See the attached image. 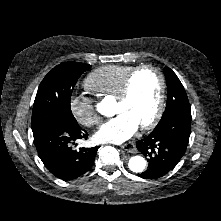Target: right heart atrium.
Masks as SVG:
<instances>
[{"mask_svg": "<svg viewBox=\"0 0 221 221\" xmlns=\"http://www.w3.org/2000/svg\"><path fill=\"white\" fill-rule=\"evenodd\" d=\"M69 110L74 119L82 126L92 127L101 122L93 100L85 95L73 94L69 98Z\"/></svg>", "mask_w": 221, "mask_h": 221, "instance_id": "1", "label": "right heart atrium"}]
</instances>
